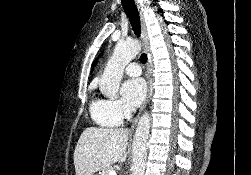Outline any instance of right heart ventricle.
Segmentation results:
<instances>
[{
	"label": "right heart ventricle",
	"mask_w": 251,
	"mask_h": 175,
	"mask_svg": "<svg viewBox=\"0 0 251 175\" xmlns=\"http://www.w3.org/2000/svg\"><path fill=\"white\" fill-rule=\"evenodd\" d=\"M89 110L97 124L109 128H114L119 125L109 113L108 101L98 98L93 99L90 103Z\"/></svg>",
	"instance_id": "1"
}]
</instances>
